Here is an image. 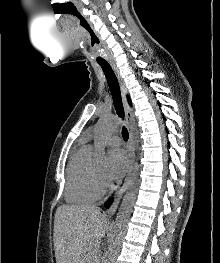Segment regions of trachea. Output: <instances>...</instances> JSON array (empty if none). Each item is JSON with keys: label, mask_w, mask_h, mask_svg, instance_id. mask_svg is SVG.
I'll return each instance as SVG.
<instances>
[{"label": "trachea", "mask_w": 220, "mask_h": 263, "mask_svg": "<svg viewBox=\"0 0 220 263\" xmlns=\"http://www.w3.org/2000/svg\"><path fill=\"white\" fill-rule=\"evenodd\" d=\"M100 66L106 76L116 113L118 114L119 117L124 118V109H123L121 92L117 78L109 64H105V65L101 64ZM122 137L125 141H127L129 138L128 131L125 127L122 128Z\"/></svg>", "instance_id": "1"}]
</instances>
